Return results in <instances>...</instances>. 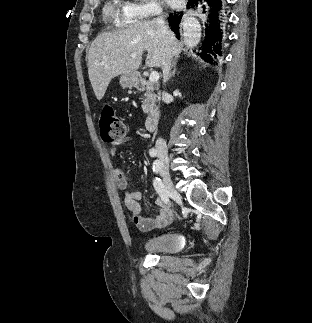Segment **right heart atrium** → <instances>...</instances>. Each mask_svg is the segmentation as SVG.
Wrapping results in <instances>:
<instances>
[{"mask_svg":"<svg viewBox=\"0 0 312 323\" xmlns=\"http://www.w3.org/2000/svg\"><path fill=\"white\" fill-rule=\"evenodd\" d=\"M130 6H123L120 17H128L129 22H149L150 17L163 13L161 2H146V0H130Z\"/></svg>","mask_w":312,"mask_h":323,"instance_id":"d8ad5b80","label":"right heart atrium"}]
</instances>
